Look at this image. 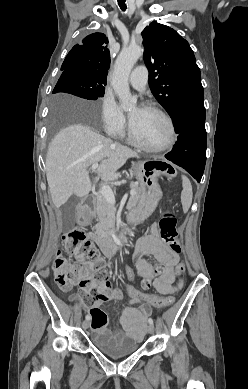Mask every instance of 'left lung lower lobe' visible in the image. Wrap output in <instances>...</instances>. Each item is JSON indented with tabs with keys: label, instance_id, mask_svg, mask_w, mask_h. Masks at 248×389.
I'll list each match as a JSON object with an SVG mask.
<instances>
[{
	"label": "left lung lower lobe",
	"instance_id": "left-lung-lower-lobe-1",
	"mask_svg": "<svg viewBox=\"0 0 248 389\" xmlns=\"http://www.w3.org/2000/svg\"><path fill=\"white\" fill-rule=\"evenodd\" d=\"M204 95H196L181 102L170 115L175 132L179 134L173 150L165 158L184 168L198 182L206 163Z\"/></svg>",
	"mask_w": 248,
	"mask_h": 389
}]
</instances>
